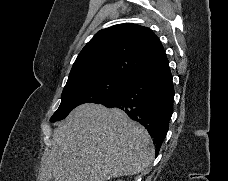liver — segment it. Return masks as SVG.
Instances as JSON below:
<instances>
[{"label":"liver","mask_w":228,"mask_h":181,"mask_svg":"<svg viewBox=\"0 0 228 181\" xmlns=\"http://www.w3.org/2000/svg\"><path fill=\"white\" fill-rule=\"evenodd\" d=\"M40 181H110L131 177L154 159L145 127L121 109L85 103L53 131Z\"/></svg>","instance_id":"6515ba94"}]
</instances>
